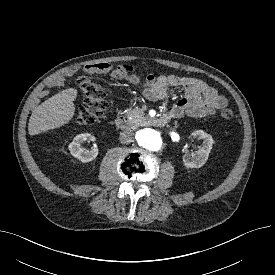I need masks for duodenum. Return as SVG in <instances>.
Returning <instances> with one entry per match:
<instances>
[{
	"label": "duodenum",
	"instance_id": "410a0bca",
	"mask_svg": "<svg viewBox=\"0 0 275 275\" xmlns=\"http://www.w3.org/2000/svg\"><path fill=\"white\" fill-rule=\"evenodd\" d=\"M168 121V116H160L150 119L149 123L155 127H163L167 124ZM115 125L118 129H126L130 125V120L125 116H118L115 119Z\"/></svg>",
	"mask_w": 275,
	"mask_h": 275
}]
</instances>
